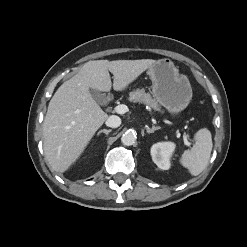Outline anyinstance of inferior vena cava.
I'll list each match as a JSON object with an SVG mask.
<instances>
[{
    "mask_svg": "<svg viewBox=\"0 0 247 247\" xmlns=\"http://www.w3.org/2000/svg\"><path fill=\"white\" fill-rule=\"evenodd\" d=\"M106 125L111 128H117L121 125V119L116 115H111L106 120Z\"/></svg>",
    "mask_w": 247,
    "mask_h": 247,
    "instance_id": "602c4592",
    "label": "inferior vena cava"
}]
</instances>
